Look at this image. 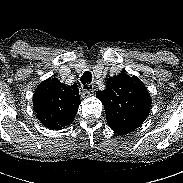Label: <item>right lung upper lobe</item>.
<instances>
[{"mask_svg": "<svg viewBox=\"0 0 183 183\" xmlns=\"http://www.w3.org/2000/svg\"><path fill=\"white\" fill-rule=\"evenodd\" d=\"M80 103L77 84L66 86L55 78L41 82L33 95L38 119L44 126L54 130L72 123Z\"/></svg>", "mask_w": 183, "mask_h": 183, "instance_id": "1", "label": "right lung upper lobe"}]
</instances>
